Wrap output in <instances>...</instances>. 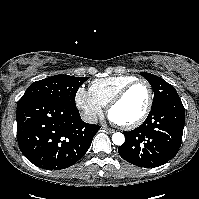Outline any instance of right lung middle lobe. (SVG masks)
Here are the masks:
<instances>
[{"mask_svg":"<svg viewBox=\"0 0 199 199\" xmlns=\"http://www.w3.org/2000/svg\"><path fill=\"white\" fill-rule=\"evenodd\" d=\"M88 77L55 75L32 83L18 103L32 99H46L76 108L75 95Z\"/></svg>","mask_w":199,"mask_h":199,"instance_id":"1","label":"right lung middle lobe"}]
</instances>
